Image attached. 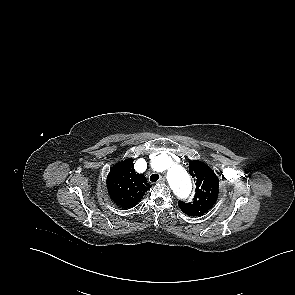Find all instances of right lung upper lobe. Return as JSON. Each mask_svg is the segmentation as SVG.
I'll return each instance as SVG.
<instances>
[{
  "instance_id": "obj_1",
  "label": "right lung upper lobe",
  "mask_w": 295,
  "mask_h": 295,
  "mask_svg": "<svg viewBox=\"0 0 295 295\" xmlns=\"http://www.w3.org/2000/svg\"><path fill=\"white\" fill-rule=\"evenodd\" d=\"M107 187L116 205L131 208L138 204L151 185L143 174L135 172L133 160L126 159L110 169Z\"/></svg>"
}]
</instances>
